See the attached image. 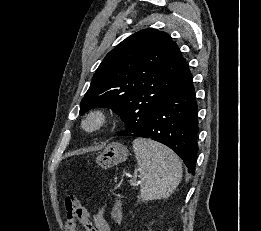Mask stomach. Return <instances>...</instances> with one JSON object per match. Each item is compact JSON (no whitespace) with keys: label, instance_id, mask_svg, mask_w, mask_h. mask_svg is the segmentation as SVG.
<instances>
[{"label":"stomach","instance_id":"obj_1","mask_svg":"<svg viewBox=\"0 0 261 231\" xmlns=\"http://www.w3.org/2000/svg\"><path fill=\"white\" fill-rule=\"evenodd\" d=\"M128 157L127 148L118 142H113L96 157V163L104 168H111L119 163L124 162Z\"/></svg>","mask_w":261,"mask_h":231}]
</instances>
